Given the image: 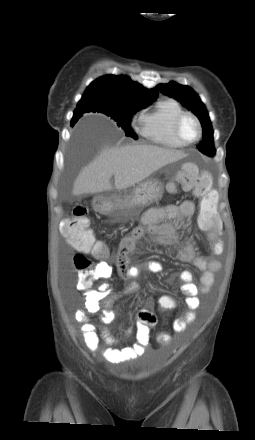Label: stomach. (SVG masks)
<instances>
[{"label": "stomach", "mask_w": 255, "mask_h": 440, "mask_svg": "<svg viewBox=\"0 0 255 440\" xmlns=\"http://www.w3.org/2000/svg\"><path fill=\"white\" fill-rule=\"evenodd\" d=\"M163 192L161 182L148 179L137 184L129 193H120L111 198L99 197L95 206L100 213L110 214L118 221H126L144 207L161 199Z\"/></svg>", "instance_id": "obj_1"}]
</instances>
